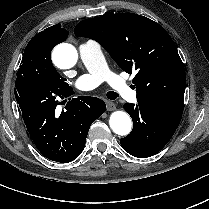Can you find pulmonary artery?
<instances>
[{"label": "pulmonary artery", "mask_w": 209, "mask_h": 209, "mask_svg": "<svg viewBox=\"0 0 209 209\" xmlns=\"http://www.w3.org/2000/svg\"><path fill=\"white\" fill-rule=\"evenodd\" d=\"M78 52L88 71L87 74L76 80L75 87L78 90H93L105 80L119 97L129 102H136L137 92L131 90L119 76L108 71L99 42L95 40L85 41L79 45Z\"/></svg>", "instance_id": "obj_1"}]
</instances>
